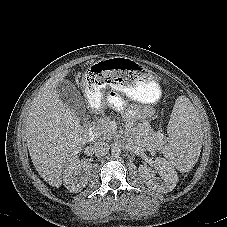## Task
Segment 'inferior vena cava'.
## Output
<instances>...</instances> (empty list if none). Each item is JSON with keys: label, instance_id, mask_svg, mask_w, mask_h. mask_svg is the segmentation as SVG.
Returning <instances> with one entry per match:
<instances>
[{"label": "inferior vena cava", "instance_id": "602c4592", "mask_svg": "<svg viewBox=\"0 0 227 227\" xmlns=\"http://www.w3.org/2000/svg\"><path fill=\"white\" fill-rule=\"evenodd\" d=\"M110 146L104 141H99L94 144V152L96 155L104 156L108 154Z\"/></svg>", "mask_w": 227, "mask_h": 227}]
</instances>
